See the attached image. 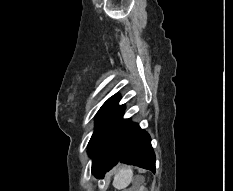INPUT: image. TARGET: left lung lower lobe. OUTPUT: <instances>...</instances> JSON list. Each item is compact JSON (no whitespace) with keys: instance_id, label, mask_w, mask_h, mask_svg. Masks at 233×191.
Instances as JSON below:
<instances>
[{"instance_id":"1","label":"left lung lower lobe","mask_w":233,"mask_h":191,"mask_svg":"<svg viewBox=\"0 0 233 191\" xmlns=\"http://www.w3.org/2000/svg\"><path fill=\"white\" fill-rule=\"evenodd\" d=\"M124 108L103 130L90 151L92 173L97 178L118 161L139 166L155 173V154L149 134L130 119H123Z\"/></svg>"}]
</instances>
